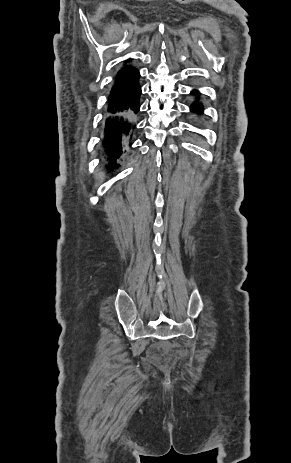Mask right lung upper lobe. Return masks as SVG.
<instances>
[{"label":"right lung upper lobe","instance_id":"cb5924a9","mask_svg":"<svg viewBox=\"0 0 291 463\" xmlns=\"http://www.w3.org/2000/svg\"><path fill=\"white\" fill-rule=\"evenodd\" d=\"M128 61H130V60H128ZM137 72H138V70L136 68H134L132 66H125L118 72L117 77H121V76L130 77L132 74L137 73ZM121 91H123V90L120 89L119 87H112V90L110 92L109 97L110 98H115V97L119 96Z\"/></svg>","mask_w":291,"mask_h":463}]
</instances>
